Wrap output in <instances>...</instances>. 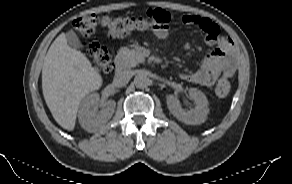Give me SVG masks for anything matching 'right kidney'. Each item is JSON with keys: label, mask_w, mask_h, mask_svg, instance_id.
I'll return each instance as SVG.
<instances>
[{"label": "right kidney", "mask_w": 292, "mask_h": 184, "mask_svg": "<svg viewBox=\"0 0 292 184\" xmlns=\"http://www.w3.org/2000/svg\"><path fill=\"white\" fill-rule=\"evenodd\" d=\"M99 99L98 93L88 95L82 100L78 111L80 125L90 133L96 132L106 124L115 111L116 102L109 100L102 104V110L97 112Z\"/></svg>", "instance_id": "1"}]
</instances>
